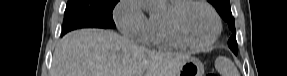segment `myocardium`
Here are the masks:
<instances>
[{
    "label": "myocardium",
    "instance_id": "f54148a6",
    "mask_svg": "<svg viewBox=\"0 0 287 76\" xmlns=\"http://www.w3.org/2000/svg\"><path fill=\"white\" fill-rule=\"evenodd\" d=\"M189 5H199L207 9L212 15L215 23V31L211 38L204 43L190 42L182 33L179 26V17L182 11ZM168 28L173 38L182 46L190 49H206L211 47L219 38L222 31L221 19L217 11L207 2L202 0H179L170 8L167 14Z\"/></svg>",
    "mask_w": 287,
    "mask_h": 76
}]
</instances>
